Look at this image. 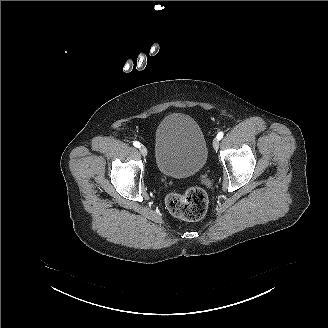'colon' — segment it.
Here are the masks:
<instances>
[{"label":"colon","mask_w":328,"mask_h":328,"mask_svg":"<svg viewBox=\"0 0 328 328\" xmlns=\"http://www.w3.org/2000/svg\"><path fill=\"white\" fill-rule=\"evenodd\" d=\"M166 206L173 216L187 221H195L205 215L208 197L202 188L192 186L183 192L169 193L166 197Z\"/></svg>","instance_id":"1"}]
</instances>
